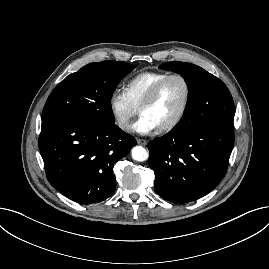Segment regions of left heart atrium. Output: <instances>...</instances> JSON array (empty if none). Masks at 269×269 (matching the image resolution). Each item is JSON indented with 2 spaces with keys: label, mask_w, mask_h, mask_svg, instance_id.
Returning <instances> with one entry per match:
<instances>
[{
  "label": "left heart atrium",
  "mask_w": 269,
  "mask_h": 269,
  "mask_svg": "<svg viewBox=\"0 0 269 269\" xmlns=\"http://www.w3.org/2000/svg\"><path fill=\"white\" fill-rule=\"evenodd\" d=\"M157 128V125L149 117L141 114L133 123L131 130L141 135H147Z\"/></svg>",
  "instance_id": "left-heart-atrium-1"
}]
</instances>
